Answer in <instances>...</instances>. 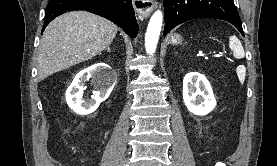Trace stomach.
<instances>
[{
    "instance_id": "0dacf381",
    "label": "stomach",
    "mask_w": 277,
    "mask_h": 166,
    "mask_svg": "<svg viewBox=\"0 0 277 166\" xmlns=\"http://www.w3.org/2000/svg\"><path fill=\"white\" fill-rule=\"evenodd\" d=\"M171 44L178 45L182 42V37L179 34H174L170 39Z\"/></svg>"
}]
</instances>
